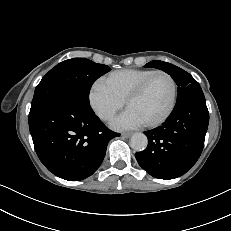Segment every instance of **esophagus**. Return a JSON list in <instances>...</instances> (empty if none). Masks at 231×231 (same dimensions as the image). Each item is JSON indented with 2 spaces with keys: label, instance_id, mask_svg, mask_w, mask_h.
I'll use <instances>...</instances> for the list:
<instances>
[{
  "label": "esophagus",
  "instance_id": "34e87169",
  "mask_svg": "<svg viewBox=\"0 0 231 231\" xmlns=\"http://www.w3.org/2000/svg\"><path fill=\"white\" fill-rule=\"evenodd\" d=\"M121 136H122V137H125V138H128V137L131 136V133H129V132H124V133L121 134Z\"/></svg>",
  "mask_w": 231,
  "mask_h": 231
}]
</instances>
